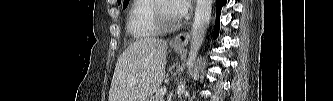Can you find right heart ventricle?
I'll use <instances>...</instances> for the list:
<instances>
[{
    "label": "right heart ventricle",
    "mask_w": 333,
    "mask_h": 101,
    "mask_svg": "<svg viewBox=\"0 0 333 101\" xmlns=\"http://www.w3.org/2000/svg\"><path fill=\"white\" fill-rule=\"evenodd\" d=\"M155 0H135L128 16L127 27L135 40H148L160 34L154 18Z\"/></svg>",
    "instance_id": "e07e8e85"
}]
</instances>
